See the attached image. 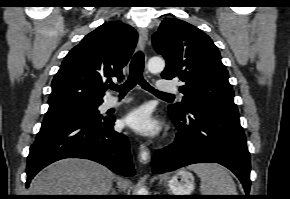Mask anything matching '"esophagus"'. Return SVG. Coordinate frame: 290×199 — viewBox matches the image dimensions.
Masks as SVG:
<instances>
[{
	"mask_svg": "<svg viewBox=\"0 0 290 199\" xmlns=\"http://www.w3.org/2000/svg\"><path fill=\"white\" fill-rule=\"evenodd\" d=\"M139 40L140 47L144 50L148 41V33L145 28H139ZM138 160L142 164H147L150 161V151L143 143L139 146Z\"/></svg>",
	"mask_w": 290,
	"mask_h": 199,
	"instance_id": "obj_1",
	"label": "esophagus"
}]
</instances>
